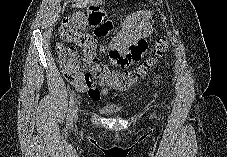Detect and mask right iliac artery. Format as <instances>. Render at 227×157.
Instances as JSON below:
<instances>
[{"instance_id":"obj_1","label":"right iliac artery","mask_w":227,"mask_h":157,"mask_svg":"<svg viewBox=\"0 0 227 157\" xmlns=\"http://www.w3.org/2000/svg\"><path fill=\"white\" fill-rule=\"evenodd\" d=\"M74 105H75V101H74V96L72 95L70 102H69V112H68V115H67V125L68 126H70L72 124V121H73V117H74V114H75Z\"/></svg>"}]
</instances>
